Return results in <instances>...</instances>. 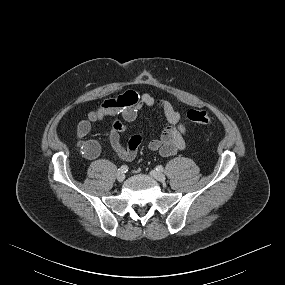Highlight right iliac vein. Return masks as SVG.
Segmentation results:
<instances>
[{
  "instance_id": "obj_1",
  "label": "right iliac vein",
  "mask_w": 285,
  "mask_h": 285,
  "mask_svg": "<svg viewBox=\"0 0 285 285\" xmlns=\"http://www.w3.org/2000/svg\"><path fill=\"white\" fill-rule=\"evenodd\" d=\"M116 178L119 182H123L124 179H125V174L122 173V172H118L117 175H116Z\"/></svg>"
}]
</instances>
